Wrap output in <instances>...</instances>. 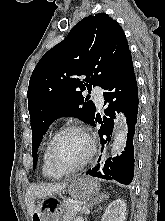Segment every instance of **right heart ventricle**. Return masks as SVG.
<instances>
[{"label": "right heart ventricle", "instance_id": "1", "mask_svg": "<svg viewBox=\"0 0 165 221\" xmlns=\"http://www.w3.org/2000/svg\"><path fill=\"white\" fill-rule=\"evenodd\" d=\"M49 143V142H48ZM48 143L46 144V146L43 149V153H42V159H41V172L45 177L48 178H55L60 176L59 174L55 173L49 166L48 161H47V146Z\"/></svg>", "mask_w": 165, "mask_h": 221}]
</instances>
